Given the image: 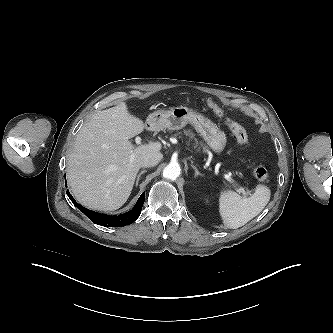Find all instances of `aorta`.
<instances>
[{
    "label": "aorta",
    "mask_w": 333,
    "mask_h": 333,
    "mask_svg": "<svg viewBox=\"0 0 333 333\" xmlns=\"http://www.w3.org/2000/svg\"><path fill=\"white\" fill-rule=\"evenodd\" d=\"M180 167L178 164H169L163 170V176L170 180H175L180 175Z\"/></svg>",
    "instance_id": "aorta-1"
}]
</instances>
